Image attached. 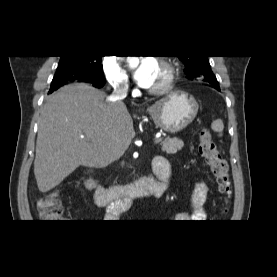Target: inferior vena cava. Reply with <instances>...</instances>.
Returning a JSON list of instances; mask_svg holds the SVG:
<instances>
[{
    "instance_id": "1",
    "label": "inferior vena cava",
    "mask_w": 277,
    "mask_h": 277,
    "mask_svg": "<svg viewBox=\"0 0 277 277\" xmlns=\"http://www.w3.org/2000/svg\"><path fill=\"white\" fill-rule=\"evenodd\" d=\"M128 92V84L124 82L115 83L114 90L109 97L112 102H122L126 98Z\"/></svg>"
}]
</instances>
